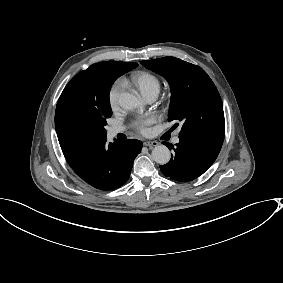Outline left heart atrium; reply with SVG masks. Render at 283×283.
I'll list each match as a JSON object with an SVG mask.
<instances>
[{
	"label": "left heart atrium",
	"instance_id": "left-heart-atrium-1",
	"mask_svg": "<svg viewBox=\"0 0 283 283\" xmlns=\"http://www.w3.org/2000/svg\"><path fill=\"white\" fill-rule=\"evenodd\" d=\"M152 122V119H145V120H139L135 122L136 128L141 131L142 133H147L148 132V126Z\"/></svg>",
	"mask_w": 283,
	"mask_h": 283
}]
</instances>
